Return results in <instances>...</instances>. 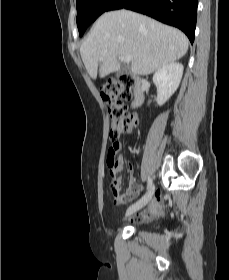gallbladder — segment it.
I'll return each instance as SVG.
<instances>
[{
  "instance_id": "obj_1",
  "label": "gallbladder",
  "mask_w": 229,
  "mask_h": 280,
  "mask_svg": "<svg viewBox=\"0 0 229 280\" xmlns=\"http://www.w3.org/2000/svg\"><path fill=\"white\" fill-rule=\"evenodd\" d=\"M124 73H127V71H126V70H121V71L117 74V76H120V75H122V74H124Z\"/></svg>"
}]
</instances>
